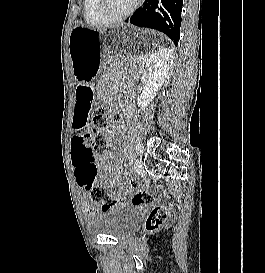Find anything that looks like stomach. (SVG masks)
I'll return each instance as SVG.
<instances>
[{
  "mask_svg": "<svg viewBox=\"0 0 265 273\" xmlns=\"http://www.w3.org/2000/svg\"><path fill=\"white\" fill-rule=\"evenodd\" d=\"M165 45L153 30H137L129 25H115L109 30H96L76 25L69 37V54L77 81L103 78L117 64H137L142 56H154ZM127 49V51H120Z\"/></svg>",
  "mask_w": 265,
  "mask_h": 273,
  "instance_id": "obj_1",
  "label": "stomach"
}]
</instances>
